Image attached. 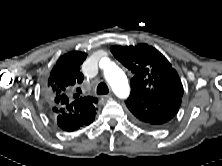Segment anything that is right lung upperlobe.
<instances>
[{"label": "right lung upper lobe", "mask_w": 222, "mask_h": 166, "mask_svg": "<svg viewBox=\"0 0 222 166\" xmlns=\"http://www.w3.org/2000/svg\"><path fill=\"white\" fill-rule=\"evenodd\" d=\"M87 54L72 51L62 55L54 65L45 82L44 95L53 112L69 114L79 124H88L95 115L96 98L82 97L75 93L80 91L77 86L82 83L84 76L80 66Z\"/></svg>", "instance_id": "obj_1"}]
</instances>
